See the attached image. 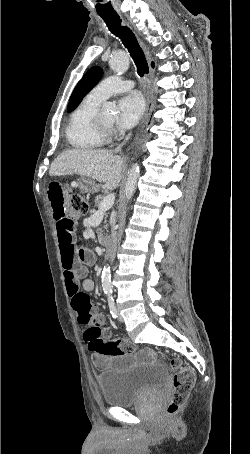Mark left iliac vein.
<instances>
[{"label":"left iliac vein","instance_id":"obj_1","mask_svg":"<svg viewBox=\"0 0 250 454\" xmlns=\"http://www.w3.org/2000/svg\"><path fill=\"white\" fill-rule=\"evenodd\" d=\"M117 315H118V320H119L120 322H123V317L120 315L119 309H117Z\"/></svg>","mask_w":250,"mask_h":454}]
</instances>
